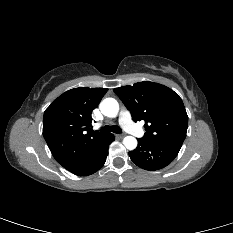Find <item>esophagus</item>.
Returning <instances> with one entry per match:
<instances>
[{
    "instance_id": "esophagus-1",
    "label": "esophagus",
    "mask_w": 233,
    "mask_h": 233,
    "mask_svg": "<svg viewBox=\"0 0 233 233\" xmlns=\"http://www.w3.org/2000/svg\"><path fill=\"white\" fill-rule=\"evenodd\" d=\"M116 137H117V138H123V137H124V134H116Z\"/></svg>"
}]
</instances>
